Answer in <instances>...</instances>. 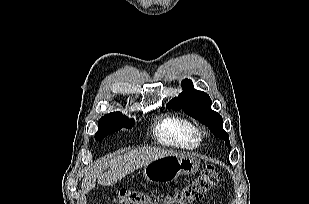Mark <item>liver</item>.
<instances>
[{
    "mask_svg": "<svg viewBox=\"0 0 309 204\" xmlns=\"http://www.w3.org/2000/svg\"><path fill=\"white\" fill-rule=\"evenodd\" d=\"M168 155H178L176 152L160 147H144L134 149L124 155L114 156L108 162L105 159L92 166L86 173L81 183L84 194L92 190L98 184L103 186L115 185L119 180L136 169L150 162ZM109 166L110 170L103 173V169Z\"/></svg>",
    "mask_w": 309,
    "mask_h": 204,
    "instance_id": "liver-1",
    "label": "liver"
}]
</instances>
